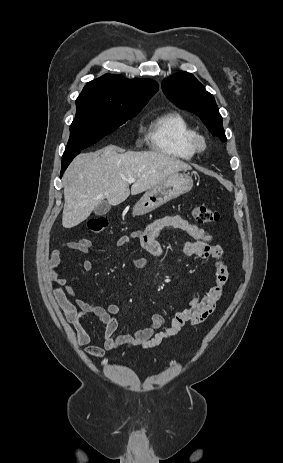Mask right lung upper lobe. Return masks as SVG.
Listing matches in <instances>:
<instances>
[{
	"label": "right lung upper lobe",
	"instance_id": "right-lung-upper-lobe-1",
	"mask_svg": "<svg viewBox=\"0 0 283 463\" xmlns=\"http://www.w3.org/2000/svg\"><path fill=\"white\" fill-rule=\"evenodd\" d=\"M157 90L158 84L151 79L129 80L123 76L105 74L88 82L79 97L131 104H147Z\"/></svg>",
	"mask_w": 283,
	"mask_h": 463
}]
</instances>
